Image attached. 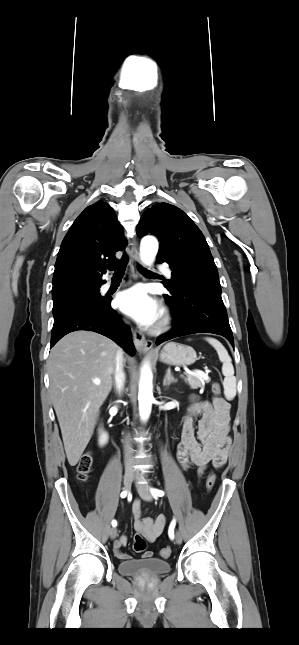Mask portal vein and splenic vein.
<instances>
[{
    "label": "portal vein and splenic vein",
    "mask_w": 299,
    "mask_h": 645,
    "mask_svg": "<svg viewBox=\"0 0 299 645\" xmlns=\"http://www.w3.org/2000/svg\"><path fill=\"white\" fill-rule=\"evenodd\" d=\"M187 373H188V374L199 375V376H202V377H207V375H206L204 372L200 371V370L189 371V372H187ZM93 383H94L95 385H100V380H94V381H93Z\"/></svg>",
    "instance_id": "18ae733b"
}]
</instances>
